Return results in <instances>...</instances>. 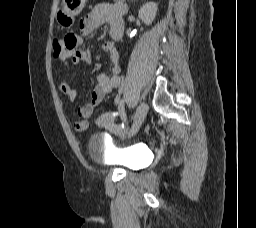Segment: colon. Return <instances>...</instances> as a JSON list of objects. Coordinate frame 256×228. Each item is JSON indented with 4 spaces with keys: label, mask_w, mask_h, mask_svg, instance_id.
<instances>
[{
    "label": "colon",
    "mask_w": 256,
    "mask_h": 228,
    "mask_svg": "<svg viewBox=\"0 0 256 228\" xmlns=\"http://www.w3.org/2000/svg\"><path fill=\"white\" fill-rule=\"evenodd\" d=\"M62 48H63V41L56 40L54 43V53L56 56L60 54V52L62 51ZM115 116L116 115L114 112L103 113L97 118L96 124L100 128L108 127L110 124H114Z\"/></svg>",
    "instance_id": "1"
}]
</instances>
